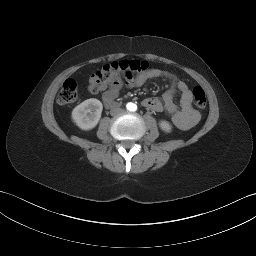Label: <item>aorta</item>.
<instances>
[{
    "mask_svg": "<svg viewBox=\"0 0 256 256\" xmlns=\"http://www.w3.org/2000/svg\"><path fill=\"white\" fill-rule=\"evenodd\" d=\"M127 109H128L129 111H134V110H135L134 104H129V105L127 106Z\"/></svg>",
    "mask_w": 256,
    "mask_h": 256,
    "instance_id": "762f6f07",
    "label": "aorta"
}]
</instances>
